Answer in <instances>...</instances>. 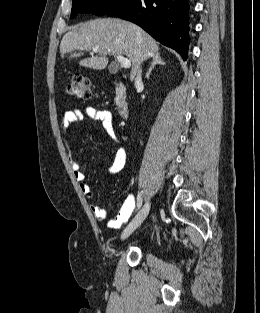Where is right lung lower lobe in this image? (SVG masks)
Here are the masks:
<instances>
[{"mask_svg": "<svg viewBox=\"0 0 260 313\" xmlns=\"http://www.w3.org/2000/svg\"><path fill=\"white\" fill-rule=\"evenodd\" d=\"M187 0H126L107 13L131 21L160 43L175 49L184 60L188 50Z\"/></svg>", "mask_w": 260, "mask_h": 313, "instance_id": "1", "label": "right lung lower lobe"}]
</instances>
